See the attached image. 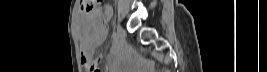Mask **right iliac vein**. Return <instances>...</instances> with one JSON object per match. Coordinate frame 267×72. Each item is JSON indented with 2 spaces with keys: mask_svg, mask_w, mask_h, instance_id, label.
<instances>
[{
  "mask_svg": "<svg viewBox=\"0 0 267 72\" xmlns=\"http://www.w3.org/2000/svg\"><path fill=\"white\" fill-rule=\"evenodd\" d=\"M116 33H117L118 37H120L121 39L123 38L124 31L120 25L116 26Z\"/></svg>",
  "mask_w": 267,
  "mask_h": 72,
  "instance_id": "right-iliac-vein-1",
  "label": "right iliac vein"
}]
</instances>
